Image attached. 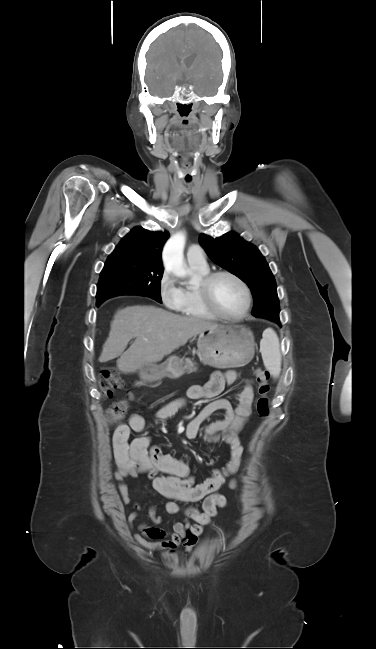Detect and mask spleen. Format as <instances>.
Segmentation results:
<instances>
[{
	"instance_id": "3e777b00",
	"label": "spleen",
	"mask_w": 376,
	"mask_h": 649,
	"mask_svg": "<svg viewBox=\"0 0 376 649\" xmlns=\"http://www.w3.org/2000/svg\"><path fill=\"white\" fill-rule=\"evenodd\" d=\"M260 352L265 368L273 377L278 378L281 372V354L279 339L274 330L267 329L263 333Z\"/></svg>"
}]
</instances>
